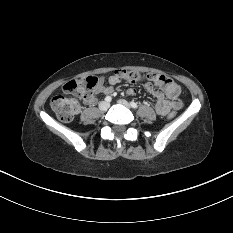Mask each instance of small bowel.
Returning a JSON list of instances; mask_svg holds the SVG:
<instances>
[{"instance_id": "obj_1", "label": "small bowel", "mask_w": 233, "mask_h": 233, "mask_svg": "<svg viewBox=\"0 0 233 233\" xmlns=\"http://www.w3.org/2000/svg\"><path fill=\"white\" fill-rule=\"evenodd\" d=\"M121 79L113 74L108 78V84H105L103 77L99 78L98 85L94 93L86 98L84 101L86 104L92 105L96 101L95 94L104 93L110 94L113 92V88L118 84ZM155 85L161 90L155 88L153 84L146 86L148 92H150L155 98L154 109L160 116L167 115L171 110H178L182 107V101L178 98L180 93V87L171 78L160 75L155 81ZM135 90L132 88L127 89L126 95H134Z\"/></svg>"}]
</instances>
